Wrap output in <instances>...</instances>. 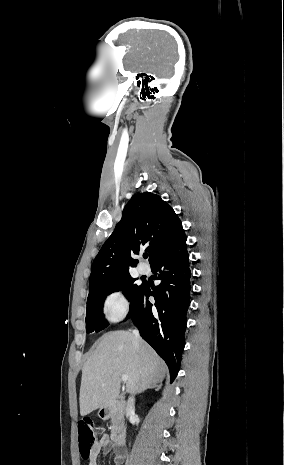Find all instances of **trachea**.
<instances>
[{
  "instance_id": "trachea-1",
  "label": "trachea",
  "mask_w": 284,
  "mask_h": 465,
  "mask_svg": "<svg viewBox=\"0 0 284 465\" xmlns=\"http://www.w3.org/2000/svg\"><path fill=\"white\" fill-rule=\"evenodd\" d=\"M143 257H144V258H148V255H147V254H145V255H143Z\"/></svg>"
}]
</instances>
